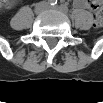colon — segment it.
<instances>
[{
    "mask_svg": "<svg viewBox=\"0 0 103 103\" xmlns=\"http://www.w3.org/2000/svg\"><path fill=\"white\" fill-rule=\"evenodd\" d=\"M89 8L95 12V26L100 27L103 24V10L101 4L98 1H91L89 3Z\"/></svg>",
    "mask_w": 103,
    "mask_h": 103,
    "instance_id": "colon-1",
    "label": "colon"
}]
</instances>
